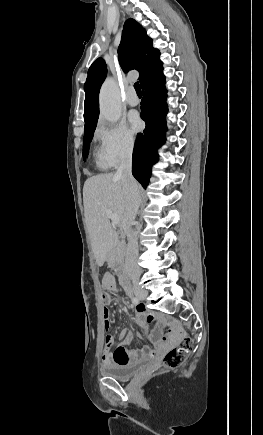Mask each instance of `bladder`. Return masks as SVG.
Wrapping results in <instances>:
<instances>
[{"label":"bladder","mask_w":263,"mask_h":435,"mask_svg":"<svg viewBox=\"0 0 263 435\" xmlns=\"http://www.w3.org/2000/svg\"><path fill=\"white\" fill-rule=\"evenodd\" d=\"M147 362V360H140L129 364L110 365L103 368V373L117 380H126L139 372Z\"/></svg>","instance_id":"obj_1"}]
</instances>
